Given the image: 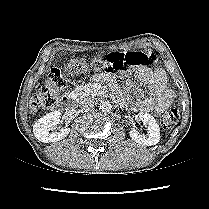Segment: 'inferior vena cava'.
<instances>
[{"mask_svg":"<svg viewBox=\"0 0 209 209\" xmlns=\"http://www.w3.org/2000/svg\"><path fill=\"white\" fill-rule=\"evenodd\" d=\"M79 106L83 110H86V111L90 110L94 106V99H92L90 97H85V98L80 100Z\"/></svg>","mask_w":209,"mask_h":209,"instance_id":"obj_1","label":"inferior vena cava"}]
</instances>
